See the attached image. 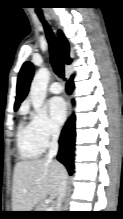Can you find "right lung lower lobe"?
<instances>
[{"mask_svg": "<svg viewBox=\"0 0 123 219\" xmlns=\"http://www.w3.org/2000/svg\"><path fill=\"white\" fill-rule=\"evenodd\" d=\"M71 78L67 83V92L71 93L74 86ZM75 116L73 115L66 122L59 139V152L57 159L66 166L70 175L73 174V152L75 143Z\"/></svg>", "mask_w": 123, "mask_h": 219, "instance_id": "1", "label": "right lung lower lobe"}]
</instances>
